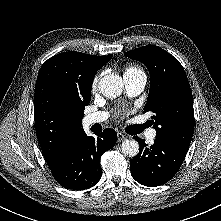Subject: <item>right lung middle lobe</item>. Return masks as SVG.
I'll use <instances>...</instances> for the list:
<instances>
[{"mask_svg": "<svg viewBox=\"0 0 221 221\" xmlns=\"http://www.w3.org/2000/svg\"><path fill=\"white\" fill-rule=\"evenodd\" d=\"M90 99H91V93L89 94V96H88V100H87V103H86V105H88L89 104V102H90Z\"/></svg>", "mask_w": 221, "mask_h": 221, "instance_id": "1", "label": "right lung middle lobe"}]
</instances>
